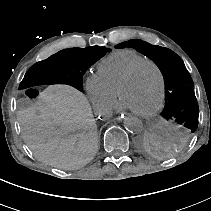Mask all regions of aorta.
I'll list each match as a JSON object with an SVG mask.
<instances>
[{
	"label": "aorta",
	"mask_w": 211,
	"mask_h": 211,
	"mask_svg": "<svg viewBox=\"0 0 211 211\" xmlns=\"http://www.w3.org/2000/svg\"><path fill=\"white\" fill-rule=\"evenodd\" d=\"M125 128L134 134H138L143 130V123L142 121L134 116L126 117L124 120Z\"/></svg>",
	"instance_id": "762f6f07"
}]
</instances>
